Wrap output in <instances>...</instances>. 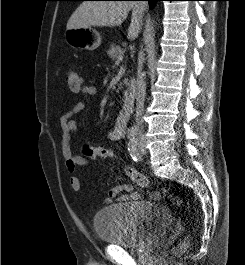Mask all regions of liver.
I'll return each mask as SVG.
<instances>
[{
  "mask_svg": "<svg viewBox=\"0 0 245 265\" xmlns=\"http://www.w3.org/2000/svg\"><path fill=\"white\" fill-rule=\"evenodd\" d=\"M132 9L128 37L135 39L142 26L144 9L141 3L130 1H85L71 15L67 30L76 28L115 27L123 23Z\"/></svg>",
  "mask_w": 245,
  "mask_h": 265,
  "instance_id": "6515ba94",
  "label": "liver"
}]
</instances>
